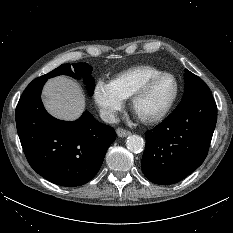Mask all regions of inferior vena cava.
<instances>
[{
  "instance_id": "obj_1",
  "label": "inferior vena cava",
  "mask_w": 233,
  "mask_h": 233,
  "mask_svg": "<svg viewBox=\"0 0 233 233\" xmlns=\"http://www.w3.org/2000/svg\"><path fill=\"white\" fill-rule=\"evenodd\" d=\"M100 118L106 123H118L119 118L112 112L102 109L100 110Z\"/></svg>"
}]
</instances>
